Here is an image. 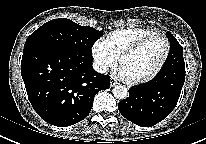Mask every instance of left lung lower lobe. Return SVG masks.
Returning a JSON list of instances; mask_svg holds the SVG:
<instances>
[{
	"label": "left lung lower lobe",
	"instance_id": "left-lung-lower-lobe-1",
	"mask_svg": "<svg viewBox=\"0 0 206 144\" xmlns=\"http://www.w3.org/2000/svg\"><path fill=\"white\" fill-rule=\"evenodd\" d=\"M185 81V64H171L154 79L129 89V97L118 103L123 117L141 127L164 120L176 106Z\"/></svg>",
	"mask_w": 206,
	"mask_h": 144
}]
</instances>
